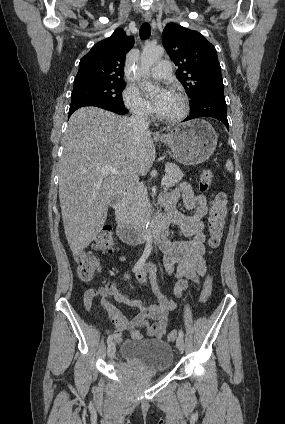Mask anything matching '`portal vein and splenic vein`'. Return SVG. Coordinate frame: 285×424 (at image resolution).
<instances>
[{"instance_id":"18ae733b","label":"portal vein and splenic vein","mask_w":285,"mask_h":424,"mask_svg":"<svg viewBox=\"0 0 285 424\" xmlns=\"http://www.w3.org/2000/svg\"><path fill=\"white\" fill-rule=\"evenodd\" d=\"M100 173H101L102 176H106V175H119V174H121L120 171L116 167H113V166L102 167L100 169ZM166 180H167L166 179V176H164L162 178V181H161V186H164L165 185ZM137 188L138 189H142V190L145 189L144 188V185L142 183H139L138 181H137Z\"/></svg>"}]
</instances>
